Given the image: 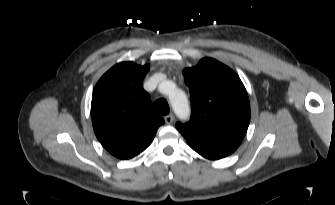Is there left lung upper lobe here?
Instances as JSON below:
<instances>
[{
  "label": "left lung upper lobe",
  "instance_id": "1",
  "mask_svg": "<svg viewBox=\"0 0 335 205\" xmlns=\"http://www.w3.org/2000/svg\"><path fill=\"white\" fill-rule=\"evenodd\" d=\"M189 87L192 114L176 127L189 145L231 154L242 142L250 121V103L238 75L212 58L183 71Z\"/></svg>",
  "mask_w": 335,
  "mask_h": 205
}]
</instances>
